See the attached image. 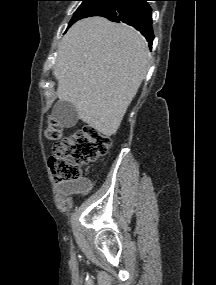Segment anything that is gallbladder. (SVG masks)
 <instances>
[{
	"instance_id": "bac80fb5",
	"label": "gallbladder",
	"mask_w": 216,
	"mask_h": 285,
	"mask_svg": "<svg viewBox=\"0 0 216 285\" xmlns=\"http://www.w3.org/2000/svg\"><path fill=\"white\" fill-rule=\"evenodd\" d=\"M52 116L62 126L69 128L78 121V113L75 106L67 101H59L54 105Z\"/></svg>"
}]
</instances>
